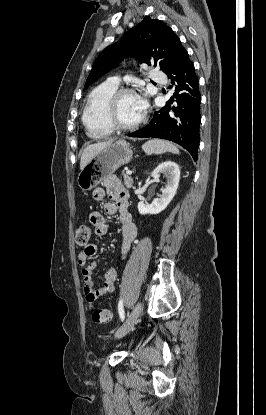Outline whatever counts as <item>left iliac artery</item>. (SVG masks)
<instances>
[{
    "label": "left iliac artery",
    "instance_id": "44dca946",
    "mask_svg": "<svg viewBox=\"0 0 266 415\" xmlns=\"http://www.w3.org/2000/svg\"><path fill=\"white\" fill-rule=\"evenodd\" d=\"M118 312H119V315H120V319L123 321L124 318H125V313H124V309H123V300L119 301Z\"/></svg>",
    "mask_w": 266,
    "mask_h": 415
}]
</instances>
